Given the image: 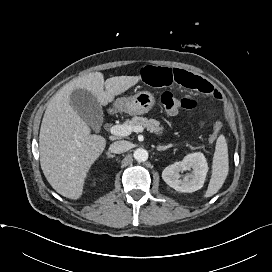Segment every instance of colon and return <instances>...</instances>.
Returning <instances> with one entry per match:
<instances>
[{"label": "colon", "instance_id": "5ec220e1", "mask_svg": "<svg viewBox=\"0 0 272 272\" xmlns=\"http://www.w3.org/2000/svg\"><path fill=\"white\" fill-rule=\"evenodd\" d=\"M161 104L163 108L171 114H175L182 110H191L196 106V102L190 98H181L173 95L170 92H164L161 96ZM221 123L216 122L213 126L210 139L213 141L217 138L221 131Z\"/></svg>", "mask_w": 272, "mask_h": 272}]
</instances>
